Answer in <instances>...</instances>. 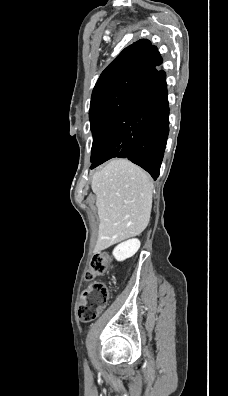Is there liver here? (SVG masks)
Segmentation results:
<instances>
[{"instance_id": "liver-1", "label": "liver", "mask_w": 228, "mask_h": 396, "mask_svg": "<svg viewBox=\"0 0 228 396\" xmlns=\"http://www.w3.org/2000/svg\"><path fill=\"white\" fill-rule=\"evenodd\" d=\"M99 216V252L141 234L147 227L153 183L150 176L127 159H113L95 172L91 184Z\"/></svg>"}]
</instances>
